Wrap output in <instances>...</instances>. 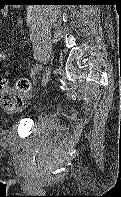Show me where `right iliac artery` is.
<instances>
[{
	"mask_svg": "<svg viewBox=\"0 0 121 197\" xmlns=\"http://www.w3.org/2000/svg\"><path fill=\"white\" fill-rule=\"evenodd\" d=\"M41 70H42V65L35 66V68L32 71L31 76H35V75L40 74Z\"/></svg>",
	"mask_w": 121,
	"mask_h": 197,
	"instance_id": "obj_1",
	"label": "right iliac artery"
}]
</instances>
